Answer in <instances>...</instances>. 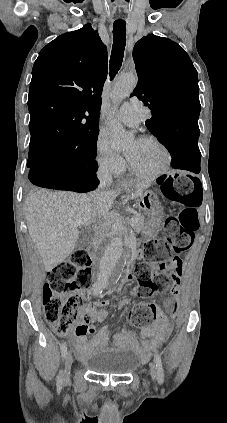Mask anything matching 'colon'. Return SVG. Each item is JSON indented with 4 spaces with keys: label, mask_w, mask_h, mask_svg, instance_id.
<instances>
[{
    "label": "colon",
    "mask_w": 227,
    "mask_h": 423,
    "mask_svg": "<svg viewBox=\"0 0 227 423\" xmlns=\"http://www.w3.org/2000/svg\"><path fill=\"white\" fill-rule=\"evenodd\" d=\"M157 184L165 198L179 208L178 215L168 217L165 222V234L178 255L191 246L199 228L197 208L202 202L201 186L188 175L166 176ZM142 254L148 263L136 266L135 274L145 297L179 282L182 262L169 256L164 242H146ZM90 281V257L83 250L73 252L67 261L48 272L42 302L45 319L56 333L67 335L79 331L85 310L81 291ZM157 310L153 303H140L131 311L130 322L136 327H146L154 320Z\"/></svg>",
    "instance_id": "colon-1"
}]
</instances>
